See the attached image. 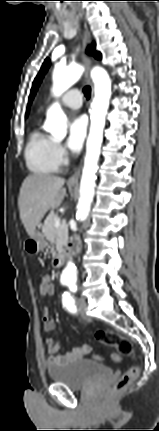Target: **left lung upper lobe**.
I'll use <instances>...</instances> for the list:
<instances>
[{"label": "left lung upper lobe", "mask_w": 159, "mask_h": 431, "mask_svg": "<svg viewBox=\"0 0 159 431\" xmlns=\"http://www.w3.org/2000/svg\"><path fill=\"white\" fill-rule=\"evenodd\" d=\"M94 47H95V45L90 46V47L87 49V52H88L89 54H91V55H94V57H95L96 59H101V54H100V52H96V51L94 50ZM49 66H50V60L47 58V59L44 61V63H43V65H42V67H41V69H40V71H39L38 75L36 76V78H35V80H34V82H33L32 89H31V92H30V97H29V101H30V102L32 101V99H33V97H34V95H35V93H36V90H37L38 86L40 85V83H41V81H42V78L44 77V75H45L46 71L48 70Z\"/></svg>", "instance_id": "obj_1"}]
</instances>
